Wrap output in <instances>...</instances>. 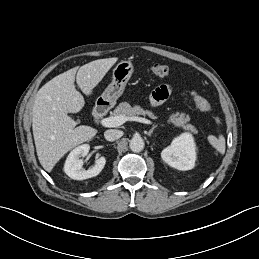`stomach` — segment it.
Instances as JSON below:
<instances>
[{"label":"stomach","instance_id":"stomach-1","mask_svg":"<svg viewBox=\"0 0 259 259\" xmlns=\"http://www.w3.org/2000/svg\"><path fill=\"white\" fill-rule=\"evenodd\" d=\"M133 73V64L129 60L119 62L113 69L112 82L96 100V106H114L123 94L125 86Z\"/></svg>","mask_w":259,"mask_h":259}]
</instances>
